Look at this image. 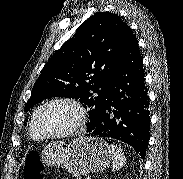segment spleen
<instances>
[{"label":"spleen","instance_id":"obj_1","mask_svg":"<svg viewBox=\"0 0 183 179\" xmlns=\"http://www.w3.org/2000/svg\"><path fill=\"white\" fill-rule=\"evenodd\" d=\"M109 149L112 154V170L115 172L126 164V156L120 148L113 144L109 146Z\"/></svg>","mask_w":183,"mask_h":179}]
</instances>
